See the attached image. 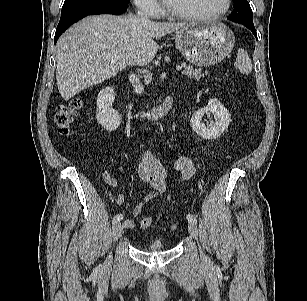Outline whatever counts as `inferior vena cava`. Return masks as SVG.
I'll use <instances>...</instances> for the list:
<instances>
[{"mask_svg": "<svg viewBox=\"0 0 307 301\" xmlns=\"http://www.w3.org/2000/svg\"><path fill=\"white\" fill-rule=\"evenodd\" d=\"M137 15H138V17L147 19V16L141 10H138ZM129 80L132 83L134 90L137 94L143 93L144 87H143L142 83H140L139 76L131 73V75L129 76Z\"/></svg>", "mask_w": 307, "mask_h": 301, "instance_id": "1", "label": "inferior vena cava"}]
</instances>
